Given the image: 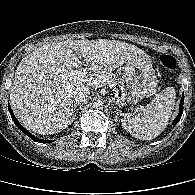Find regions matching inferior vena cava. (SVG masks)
Wrapping results in <instances>:
<instances>
[{"label": "inferior vena cava", "mask_w": 195, "mask_h": 195, "mask_svg": "<svg viewBox=\"0 0 195 195\" xmlns=\"http://www.w3.org/2000/svg\"><path fill=\"white\" fill-rule=\"evenodd\" d=\"M90 95V91L89 89L82 85V86H77L73 92H72V98L73 100H75L76 102H82L87 100V98Z\"/></svg>", "instance_id": "inferior-vena-cava-1"}]
</instances>
